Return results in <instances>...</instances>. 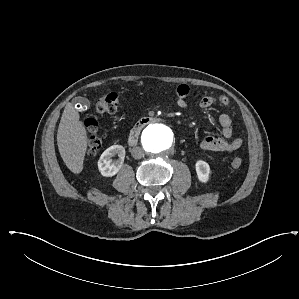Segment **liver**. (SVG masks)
<instances>
[{"instance_id":"6515ba94","label":"liver","mask_w":299,"mask_h":299,"mask_svg":"<svg viewBox=\"0 0 299 299\" xmlns=\"http://www.w3.org/2000/svg\"><path fill=\"white\" fill-rule=\"evenodd\" d=\"M57 145L68 169L74 174L81 173L88 137L79 113L71 103L66 104L64 108L57 132Z\"/></svg>"}]
</instances>
